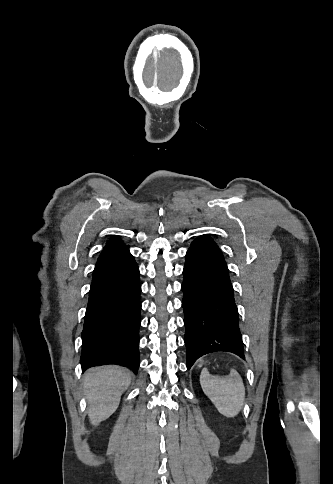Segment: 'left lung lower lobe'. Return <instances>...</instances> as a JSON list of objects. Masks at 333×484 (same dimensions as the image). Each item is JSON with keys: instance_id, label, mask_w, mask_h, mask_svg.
I'll return each instance as SVG.
<instances>
[{"instance_id": "0a47b994", "label": "left lung lower lobe", "mask_w": 333, "mask_h": 484, "mask_svg": "<svg viewBox=\"0 0 333 484\" xmlns=\"http://www.w3.org/2000/svg\"><path fill=\"white\" fill-rule=\"evenodd\" d=\"M183 275L187 368L199 357L216 351L231 352L244 359L229 271L221 250L209 236L192 242Z\"/></svg>"}]
</instances>
